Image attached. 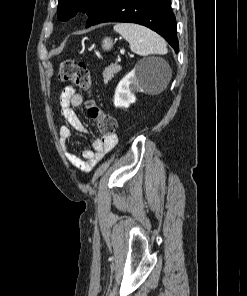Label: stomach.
Returning a JSON list of instances; mask_svg holds the SVG:
<instances>
[{"instance_id": "0dacf381", "label": "stomach", "mask_w": 247, "mask_h": 296, "mask_svg": "<svg viewBox=\"0 0 247 296\" xmlns=\"http://www.w3.org/2000/svg\"><path fill=\"white\" fill-rule=\"evenodd\" d=\"M113 47V41L110 37H105L102 41V48L106 51L111 50Z\"/></svg>"}]
</instances>
